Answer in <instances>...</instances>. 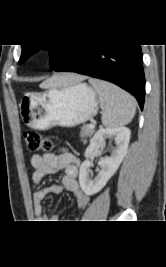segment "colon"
<instances>
[{
    "instance_id": "obj_1",
    "label": "colon",
    "mask_w": 166,
    "mask_h": 267,
    "mask_svg": "<svg viewBox=\"0 0 166 267\" xmlns=\"http://www.w3.org/2000/svg\"><path fill=\"white\" fill-rule=\"evenodd\" d=\"M23 138L29 151H50L53 148V141L37 131L25 130L23 132Z\"/></svg>"
}]
</instances>
